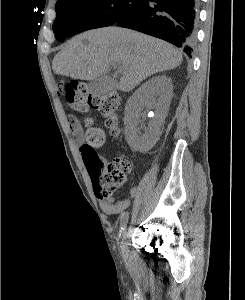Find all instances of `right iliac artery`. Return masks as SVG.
Here are the masks:
<instances>
[{
	"mask_svg": "<svg viewBox=\"0 0 245 300\" xmlns=\"http://www.w3.org/2000/svg\"><path fill=\"white\" fill-rule=\"evenodd\" d=\"M129 219V212H124L121 216V221H120V234L125 230L127 226V222Z\"/></svg>",
	"mask_w": 245,
	"mask_h": 300,
	"instance_id": "82829eb1",
	"label": "right iliac artery"
}]
</instances>
